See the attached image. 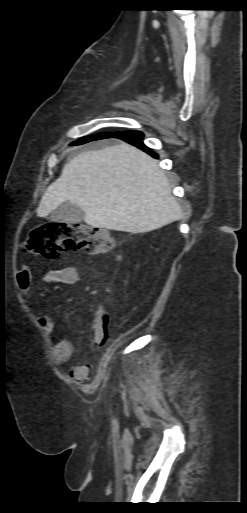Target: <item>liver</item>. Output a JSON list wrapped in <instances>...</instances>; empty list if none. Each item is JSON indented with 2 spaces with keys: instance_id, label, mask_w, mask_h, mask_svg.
Segmentation results:
<instances>
[{
  "instance_id": "liver-1",
  "label": "liver",
  "mask_w": 247,
  "mask_h": 513,
  "mask_svg": "<svg viewBox=\"0 0 247 513\" xmlns=\"http://www.w3.org/2000/svg\"><path fill=\"white\" fill-rule=\"evenodd\" d=\"M66 201L84 212L86 224L115 231L145 233L182 216L157 161L125 142L69 160L43 194L37 216Z\"/></svg>"
}]
</instances>
